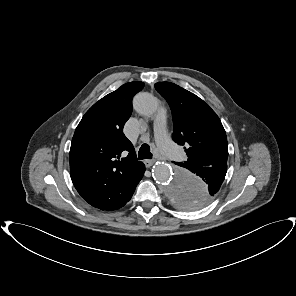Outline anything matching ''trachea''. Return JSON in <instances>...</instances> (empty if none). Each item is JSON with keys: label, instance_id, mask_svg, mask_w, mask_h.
<instances>
[{"label": "trachea", "instance_id": "trachea-1", "mask_svg": "<svg viewBox=\"0 0 296 296\" xmlns=\"http://www.w3.org/2000/svg\"><path fill=\"white\" fill-rule=\"evenodd\" d=\"M152 158V153L150 152V146L148 144H143L138 152V159L143 160V159H151Z\"/></svg>", "mask_w": 296, "mask_h": 296}]
</instances>
